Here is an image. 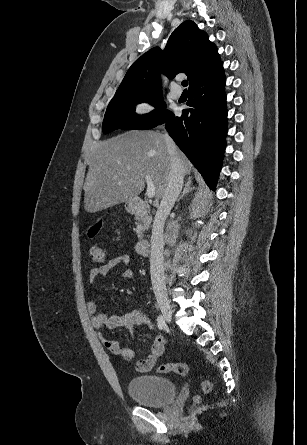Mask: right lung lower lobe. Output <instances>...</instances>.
<instances>
[{
	"mask_svg": "<svg viewBox=\"0 0 307 445\" xmlns=\"http://www.w3.org/2000/svg\"><path fill=\"white\" fill-rule=\"evenodd\" d=\"M225 76L223 65L189 87L187 105L181 117L171 113L161 123L214 190L221 169L227 133Z\"/></svg>",
	"mask_w": 307,
	"mask_h": 445,
	"instance_id": "obj_1",
	"label": "right lung lower lobe"
}]
</instances>
